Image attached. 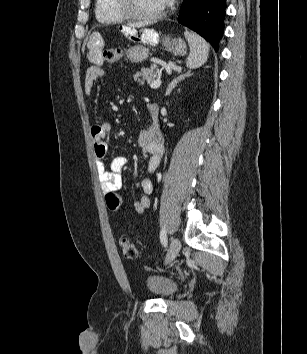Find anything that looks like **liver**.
<instances>
[{
	"mask_svg": "<svg viewBox=\"0 0 307 354\" xmlns=\"http://www.w3.org/2000/svg\"><path fill=\"white\" fill-rule=\"evenodd\" d=\"M146 25V23H143V22H138V23H132L130 24L129 26L131 28H141V27H144Z\"/></svg>",
	"mask_w": 307,
	"mask_h": 354,
	"instance_id": "6515ba94",
	"label": "liver"
}]
</instances>
